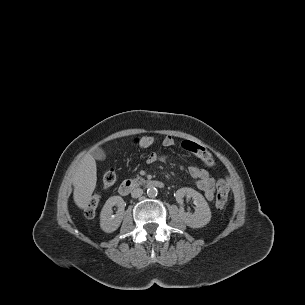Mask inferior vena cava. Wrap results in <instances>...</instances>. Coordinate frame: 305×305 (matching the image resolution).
Listing matches in <instances>:
<instances>
[{
  "label": "inferior vena cava",
  "instance_id": "1",
  "mask_svg": "<svg viewBox=\"0 0 305 305\" xmlns=\"http://www.w3.org/2000/svg\"><path fill=\"white\" fill-rule=\"evenodd\" d=\"M143 194V190L141 188H135L132 192H131V196L133 198H138L140 196H142Z\"/></svg>",
  "mask_w": 305,
  "mask_h": 305
}]
</instances>
